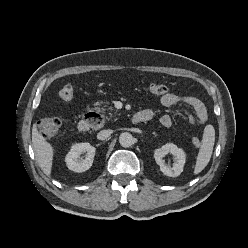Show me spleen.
<instances>
[{"label":"spleen","mask_w":248,"mask_h":248,"mask_svg":"<svg viewBox=\"0 0 248 248\" xmlns=\"http://www.w3.org/2000/svg\"><path fill=\"white\" fill-rule=\"evenodd\" d=\"M214 142H215V131L214 128L211 125H209L204 130L202 145L199 149L194 168L195 175L199 174L208 165L212 156Z\"/></svg>","instance_id":"3e777b00"}]
</instances>
